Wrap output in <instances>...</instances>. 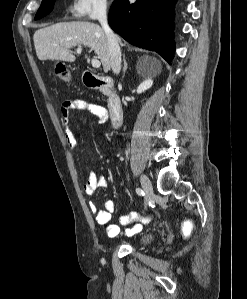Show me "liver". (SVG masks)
<instances>
[{"instance_id": "6515ba94", "label": "liver", "mask_w": 247, "mask_h": 299, "mask_svg": "<svg viewBox=\"0 0 247 299\" xmlns=\"http://www.w3.org/2000/svg\"><path fill=\"white\" fill-rule=\"evenodd\" d=\"M117 37V36H116ZM34 46L39 60H60L74 62L76 57L70 49L84 45L100 58L104 72L111 68L109 43L104 30L97 24L86 21L56 23L38 29L34 33ZM118 42L121 40L117 37ZM143 62L151 65L155 74L161 71V63L156 58L144 57Z\"/></svg>"}]
</instances>
